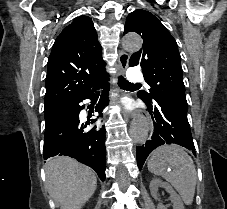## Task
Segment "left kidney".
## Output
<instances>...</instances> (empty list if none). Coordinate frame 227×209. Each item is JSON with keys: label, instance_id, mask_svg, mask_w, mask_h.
Segmentation results:
<instances>
[{"label": "left kidney", "instance_id": "1", "mask_svg": "<svg viewBox=\"0 0 227 209\" xmlns=\"http://www.w3.org/2000/svg\"><path fill=\"white\" fill-rule=\"evenodd\" d=\"M158 187H162V189H165V191L169 193L173 209H184L182 199H180L179 195L175 193L174 189H172L169 183H162L160 179H153V181L150 183V193L154 199H157L158 197ZM157 209H166V207L165 205H162V203H159Z\"/></svg>", "mask_w": 227, "mask_h": 209}]
</instances>
